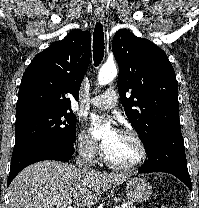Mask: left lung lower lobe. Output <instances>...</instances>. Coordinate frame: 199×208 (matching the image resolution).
<instances>
[{
  "label": "left lung lower lobe",
  "mask_w": 199,
  "mask_h": 208,
  "mask_svg": "<svg viewBox=\"0 0 199 208\" xmlns=\"http://www.w3.org/2000/svg\"><path fill=\"white\" fill-rule=\"evenodd\" d=\"M145 151L148 154V160L139 168V173H171L191 190V179L180 128L162 132Z\"/></svg>",
  "instance_id": "left-lung-lower-lobe-1"
}]
</instances>
